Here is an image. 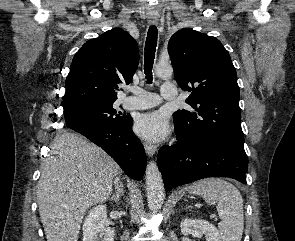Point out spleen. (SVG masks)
<instances>
[{"instance_id":"obj_1","label":"spleen","mask_w":295,"mask_h":241,"mask_svg":"<svg viewBox=\"0 0 295 241\" xmlns=\"http://www.w3.org/2000/svg\"><path fill=\"white\" fill-rule=\"evenodd\" d=\"M190 194L202 196L210 204H216L221 218L218 224L222 241H241L244 228L243 199L239 190L222 178H207L189 186Z\"/></svg>"}]
</instances>
